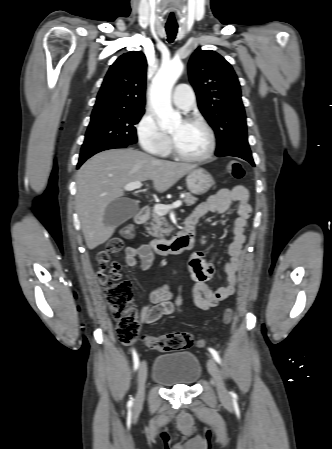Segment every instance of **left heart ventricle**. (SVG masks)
<instances>
[{
  "label": "left heart ventricle",
  "instance_id": "obj_1",
  "mask_svg": "<svg viewBox=\"0 0 332 449\" xmlns=\"http://www.w3.org/2000/svg\"><path fill=\"white\" fill-rule=\"evenodd\" d=\"M177 148L184 154H203L208 148V137L202 127L179 121L170 131Z\"/></svg>",
  "mask_w": 332,
  "mask_h": 449
}]
</instances>
